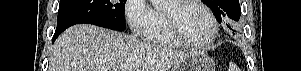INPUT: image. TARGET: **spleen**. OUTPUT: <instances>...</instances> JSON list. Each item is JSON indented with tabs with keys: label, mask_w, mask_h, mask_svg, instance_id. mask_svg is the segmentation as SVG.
I'll return each mask as SVG.
<instances>
[{
	"label": "spleen",
	"mask_w": 301,
	"mask_h": 71,
	"mask_svg": "<svg viewBox=\"0 0 301 71\" xmlns=\"http://www.w3.org/2000/svg\"><path fill=\"white\" fill-rule=\"evenodd\" d=\"M232 70L231 71H237V69L235 70V67L231 68Z\"/></svg>",
	"instance_id": "obj_1"
}]
</instances>
